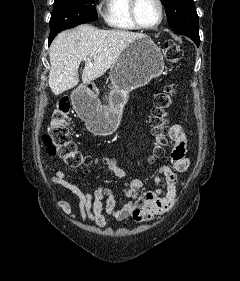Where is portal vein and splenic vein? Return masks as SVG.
<instances>
[{
    "label": "portal vein and splenic vein",
    "mask_w": 240,
    "mask_h": 281,
    "mask_svg": "<svg viewBox=\"0 0 240 281\" xmlns=\"http://www.w3.org/2000/svg\"><path fill=\"white\" fill-rule=\"evenodd\" d=\"M89 66H90V67H93V64H92L91 62H89Z\"/></svg>",
    "instance_id": "obj_1"
}]
</instances>
